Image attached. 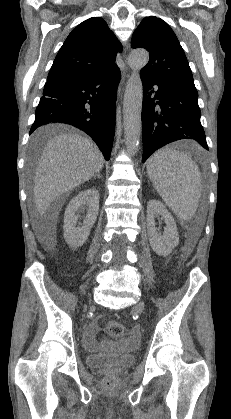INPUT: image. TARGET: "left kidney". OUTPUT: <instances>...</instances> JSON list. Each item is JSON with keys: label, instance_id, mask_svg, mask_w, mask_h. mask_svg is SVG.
Masks as SVG:
<instances>
[{"label": "left kidney", "instance_id": "left-kidney-1", "mask_svg": "<svg viewBox=\"0 0 231 419\" xmlns=\"http://www.w3.org/2000/svg\"><path fill=\"white\" fill-rule=\"evenodd\" d=\"M161 215L166 223L163 234L156 228L155 218ZM147 233L151 248L158 255H168L179 243L176 222L166 207L158 200H150L147 205Z\"/></svg>", "mask_w": 231, "mask_h": 419}]
</instances>
